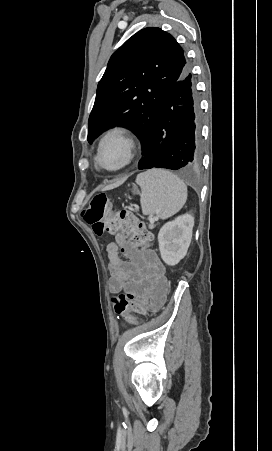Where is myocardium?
Returning <instances> with one entry per match:
<instances>
[{"label":"myocardium","instance_id":"1","mask_svg":"<svg viewBox=\"0 0 272 451\" xmlns=\"http://www.w3.org/2000/svg\"><path fill=\"white\" fill-rule=\"evenodd\" d=\"M110 142H116V143L120 144L124 148V151L126 154V159H125V162L123 163V165L117 169L110 170L112 172H119V171L123 170L124 168H126L133 159V142L126 135V133L119 128H115V129L108 131L100 140L98 148H97L96 156H95V162H96L97 166L100 168L103 167L100 162L101 152L104 149V147Z\"/></svg>","mask_w":272,"mask_h":451}]
</instances>
